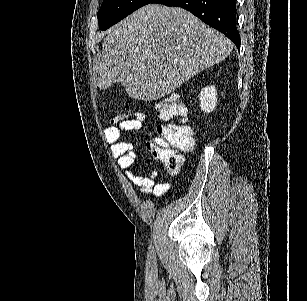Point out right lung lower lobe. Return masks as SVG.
<instances>
[{
	"instance_id": "98d812e1",
	"label": "right lung lower lobe",
	"mask_w": 307,
	"mask_h": 301,
	"mask_svg": "<svg viewBox=\"0 0 307 301\" xmlns=\"http://www.w3.org/2000/svg\"><path fill=\"white\" fill-rule=\"evenodd\" d=\"M152 3L177 6L190 11L206 24L222 32L238 49L240 48L235 0H153Z\"/></svg>"
}]
</instances>
